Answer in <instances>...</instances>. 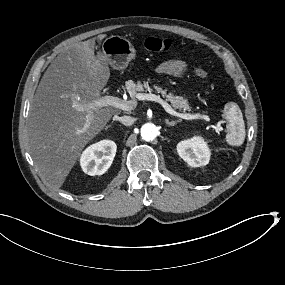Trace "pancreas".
Returning a JSON list of instances; mask_svg holds the SVG:
<instances>
[{
  "label": "pancreas",
  "instance_id": "cf45deb5",
  "mask_svg": "<svg viewBox=\"0 0 285 285\" xmlns=\"http://www.w3.org/2000/svg\"><path fill=\"white\" fill-rule=\"evenodd\" d=\"M126 89L128 90L127 95L130 98L135 97L136 94H140L141 92L147 90L150 91L152 88L158 93V95L163 96L167 95L168 91L163 87L155 86L154 83L147 82L143 84L142 80H137L135 82L128 80L125 83ZM168 101L171 102V105L174 109H179L180 111H191V107L186 98L182 96H174L173 94H169L167 96Z\"/></svg>",
  "mask_w": 285,
  "mask_h": 285
}]
</instances>
